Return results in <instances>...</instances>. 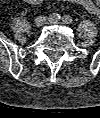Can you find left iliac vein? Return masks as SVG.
Masks as SVG:
<instances>
[{
    "mask_svg": "<svg viewBox=\"0 0 100 118\" xmlns=\"http://www.w3.org/2000/svg\"><path fill=\"white\" fill-rule=\"evenodd\" d=\"M47 23H49V24H58V21L52 20L50 18V19H48Z\"/></svg>",
    "mask_w": 100,
    "mask_h": 118,
    "instance_id": "4c4485c4",
    "label": "left iliac vein"
}]
</instances>
